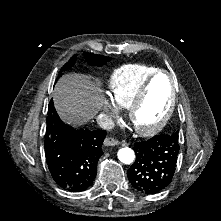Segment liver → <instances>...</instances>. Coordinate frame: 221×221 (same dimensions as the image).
Returning a JSON list of instances; mask_svg holds the SVG:
<instances>
[{
  "instance_id": "liver-1",
  "label": "liver",
  "mask_w": 221,
  "mask_h": 221,
  "mask_svg": "<svg viewBox=\"0 0 221 221\" xmlns=\"http://www.w3.org/2000/svg\"><path fill=\"white\" fill-rule=\"evenodd\" d=\"M100 83L83 74L62 76L53 91L55 108L68 123L83 125L93 119L104 102Z\"/></svg>"
}]
</instances>
